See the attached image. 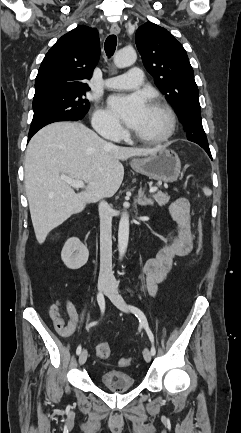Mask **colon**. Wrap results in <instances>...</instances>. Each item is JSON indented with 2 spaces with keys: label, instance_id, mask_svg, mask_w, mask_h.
<instances>
[{
  "label": "colon",
  "instance_id": "1",
  "mask_svg": "<svg viewBox=\"0 0 241 433\" xmlns=\"http://www.w3.org/2000/svg\"><path fill=\"white\" fill-rule=\"evenodd\" d=\"M198 231H199V245H198V251H197V255H199L202 251L203 248V238H202V223L200 222L198 225ZM97 355L99 356L100 359L102 360H107L109 359L110 355H111V349L110 346L104 342L101 341L98 345H97ZM121 365L125 366L127 365V360L123 359L121 360Z\"/></svg>",
  "mask_w": 241,
  "mask_h": 433
}]
</instances>
